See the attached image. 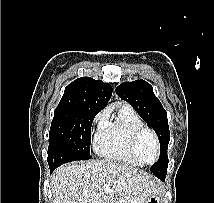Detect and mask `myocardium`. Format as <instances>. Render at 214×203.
<instances>
[{"mask_svg":"<svg viewBox=\"0 0 214 203\" xmlns=\"http://www.w3.org/2000/svg\"><path fill=\"white\" fill-rule=\"evenodd\" d=\"M144 134H149L152 137L154 144H155V148H156V158L153 162H150V163H147L141 159L140 154H139V150H138L139 141ZM130 150H131V153L133 154V156L142 165H153V164H155L159 160V157L161 154L160 143H159V139H158L156 133L152 129L145 127V126L139 128L133 132L131 139H130Z\"/></svg>","mask_w":214,"mask_h":203,"instance_id":"obj_1","label":"myocardium"}]
</instances>
